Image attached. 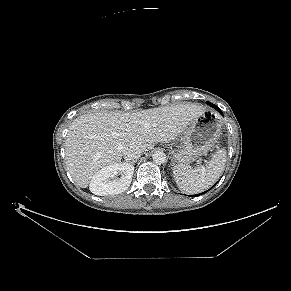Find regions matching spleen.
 I'll return each instance as SVG.
<instances>
[{
  "label": "spleen",
  "instance_id": "obj_1",
  "mask_svg": "<svg viewBox=\"0 0 291 291\" xmlns=\"http://www.w3.org/2000/svg\"><path fill=\"white\" fill-rule=\"evenodd\" d=\"M226 150H217L206 167L192 168L188 164H177L173 177L185 194H197L209 189L221 176L226 164Z\"/></svg>",
  "mask_w": 291,
  "mask_h": 291
}]
</instances>
